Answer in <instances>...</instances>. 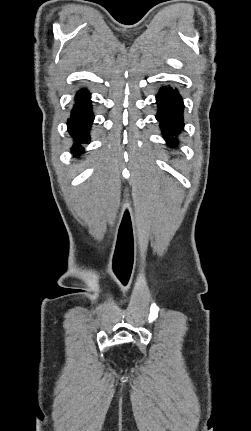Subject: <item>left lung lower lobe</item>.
<instances>
[{"mask_svg":"<svg viewBox=\"0 0 251 431\" xmlns=\"http://www.w3.org/2000/svg\"><path fill=\"white\" fill-rule=\"evenodd\" d=\"M158 113L156 119L160 123L163 137L168 144L177 146V136L183 130V99L177 89L165 87L156 96Z\"/></svg>","mask_w":251,"mask_h":431,"instance_id":"obj_1","label":"left lung lower lobe"}]
</instances>
